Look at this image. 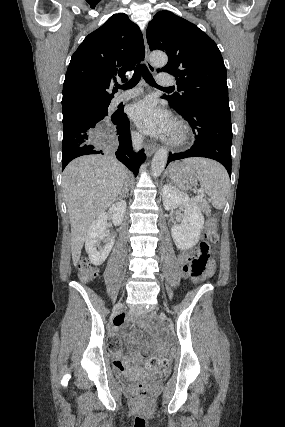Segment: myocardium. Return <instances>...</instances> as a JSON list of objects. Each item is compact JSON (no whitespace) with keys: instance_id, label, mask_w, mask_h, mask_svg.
I'll return each instance as SVG.
<instances>
[{"instance_id":"f54148a6","label":"myocardium","mask_w":285,"mask_h":427,"mask_svg":"<svg viewBox=\"0 0 285 427\" xmlns=\"http://www.w3.org/2000/svg\"><path fill=\"white\" fill-rule=\"evenodd\" d=\"M190 130L183 120H176L173 125V131L168 139V143L173 146H181L188 140Z\"/></svg>"}]
</instances>
